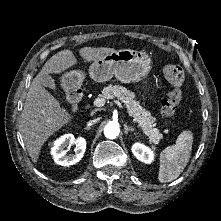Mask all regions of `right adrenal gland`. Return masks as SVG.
Wrapping results in <instances>:
<instances>
[{"label": "right adrenal gland", "mask_w": 221, "mask_h": 221, "mask_svg": "<svg viewBox=\"0 0 221 221\" xmlns=\"http://www.w3.org/2000/svg\"><path fill=\"white\" fill-rule=\"evenodd\" d=\"M84 129H85V130H90L91 128L87 126V127H85Z\"/></svg>", "instance_id": "1"}]
</instances>
